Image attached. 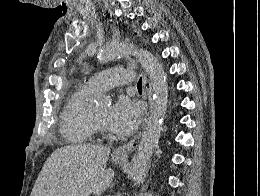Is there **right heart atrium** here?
Here are the masks:
<instances>
[{
    "label": "right heart atrium",
    "instance_id": "obj_1",
    "mask_svg": "<svg viewBox=\"0 0 260 196\" xmlns=\"http://www.w3.org/2000/svg\"><path fill=\"white\" fill-rule=\"evenodd\" d=\"M54 191L55 192H87V190H54Z\"/></svg>",
    "mask_w": 260,
    "mask_h": 196
}]
</instances>
